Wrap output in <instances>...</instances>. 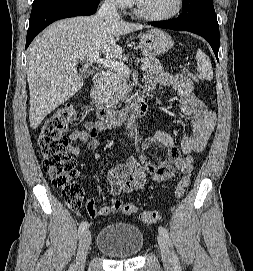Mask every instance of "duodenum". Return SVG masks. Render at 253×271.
<instances>
[{
  "label": "duodenum",
  "mask_w": 253,
  "mask_h": 271,
  "mask_svg": "<svg viewBox=\"0 0 253 271\" xmlns=\"http://www.w3.org/2000/svg\"><path fill=\"white\" fill-rule=\"evenodd\" d=\"M105 80V73L104 72H97L93 76L92 80V89H91V97L93 108L97 119L108 127H115L119 125L122 120L129 119L132 117H138L146 114L149 110V100H148V93L144 92L141 98L132 106L125 108L123 110H114L109 106H106L100 103L97 99V88L103 84Z\"/></svg>",
  "instance_id": "obj_1"
}]
</instances>
